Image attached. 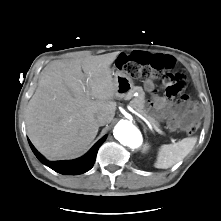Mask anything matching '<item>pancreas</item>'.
Instances as JSON below:
<instances>
[{
    "mask_svg": "<svg viewBox=\"0 0 221 221\" xmlns=\"http://www.w3.org/2000/svg\"><path fill=\"white\" fill-rule=\"evenodd\" d=\"M133 92H138V96L133 98L130 102V105L141 115H143L144 117H146L151 124L159 127V122L152 117L150 114H148L147 110L145 109V93L142 90L141 87H135L133 88L130 92H128L125 97H127L128 95H132Z\"/></svg>",
    "mask_w": 221,
    "mask_h": 221,
    "instance_id": "cf45deb5",
    "label": "pancreas"
}]
</instances>
